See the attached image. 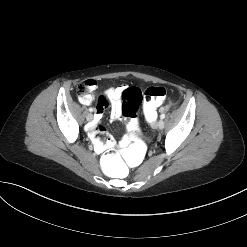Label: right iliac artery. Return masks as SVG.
Segmentation results:
<instances>
[{"label": "right iliac artery", "instance_id": "obj_1", "mask_svg": "<svg viewBox=\"0 0 247 247\" xmlns=\"http://www.w3.org/2000/svg\"><path fill=\"white\" fill-rule=\"evenodd\" d=\"M89 111H90V112H93V108H89Z\"/></svg>", "mask_w": 247, "mask_h": 247}]
</instances>
